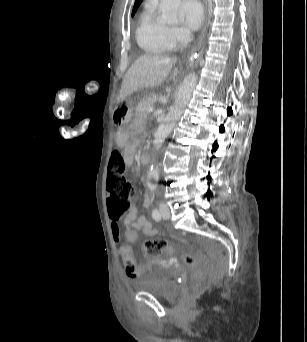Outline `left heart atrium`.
<instances>
[{
	"label": "left heart atrium",
	"mask_w": 307,
	"mask_h": 342,
	"mask_svg": "<svg viewBox=\"0 0 307 342\" xmlns=\"http://www.w3.org/2000/svg\"><path fill=\"white\" fill-rule=\"evenodd\" d=\"M204 20V9L198 1H187L181 8V38L188 43Z\"/></svg>",
	"instance_id": "obj_1"
}]
</instances>
